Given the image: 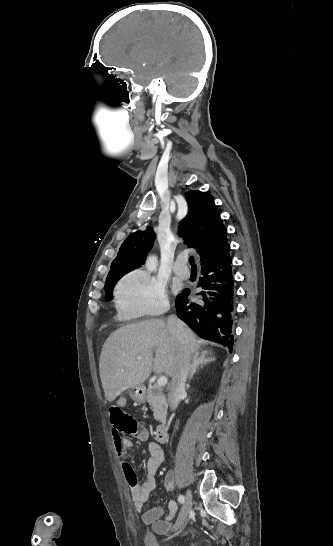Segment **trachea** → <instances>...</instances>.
<instances>
[{
    "instance_id": "3493384b",
    "label": "trachea",
    "mask_w": 333,
    "mask_h": 546,
    "mask_svg": "<svg viewBox=\"0 0 333 546\" xmlns=\"http://www.w3.org/2000/svg\"><path fill=\"white\" fill-rule=\"evenodd\" d=\"M189 262H190L192 268H196V265H195L194 257H193V256H191V257L189 258Z\"/></svg>"
}]
</instances>
